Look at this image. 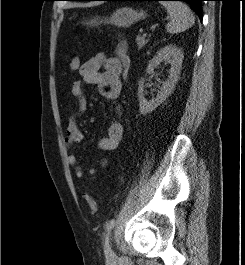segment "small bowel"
I'll use <instances>...</instances> for the list:
<instances>
[{
	"label": "small bowel",
	"instance_id": "obj_1",
	"mask_svg": "<svg viewBox=\"0 0 245 265\" xmlns=\"http://www.w3.org/2000/svg\"><path fill=\"white\" fill-rule=\"evenodd\" d=\"M101 68H104V71H101ZM79 73L80 79L74 81L71 88L73 96L78 100V105L67 124L66 143L69 146L80 143L84 138L78 125V118L87 108L84 84L97 85L101 95L114 103L118 102L122 89V68L116 57H107L104 53H97L81 66ZM116 108L120 112L119 105ZM122 137L123 125L120 120H114L108 127L107 135L98 140L97 147L102 151H114L119 147ZM67 160L69 165L74 167L75 176L82 178L84 171L78 165L76 154L69 153Z\"/></svg>",
	"mask_w": 245,
	"mask_h": 265
}]
</instances>
